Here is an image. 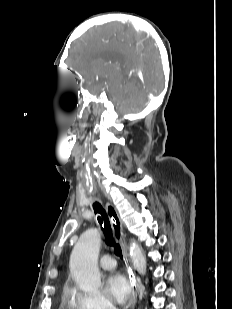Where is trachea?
Segmentation results:
<instances>
[{"mask_svg":"<svg viewBox=\"0 0 232 309\" xmlns=\"http://www.w3.org/2000/svg\"><path fill=\"white\" fill-rule=\"evenodd\" d=\"M93 209L95 211V214L97 215L98 223L100 224L101 230L103 231L105 235L107 244L110 246H113L115 254L119 256L120 258H123L121 247L119 244H116L114 240L112 229H111V224H110L109 218L105 210L103 209L101 204L98 202H95L93 204Z\"/></svg>","mask_w":232,"mask_h":309,"instance_id":"trachea-1","label":"trachea"}]
</instances>
